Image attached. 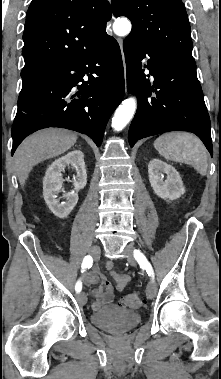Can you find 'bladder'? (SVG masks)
<instances>
[{
  "label": "bladder",
  "instance_id": "bladder-1",
  "mask_svg": "<svg viewBox=\"0 0 221 379\" xmlns=\"http://www.w3.org/2000/svg\"><path fill=\"white\" fill-rule=\"evenodd\" d=\"M140 320L138 312L114 306L101 308L91 315L94 325L111 333L126 332L138 325Z\"/></svg>",
  "mask_w": 221,
  "mask_h": 379
}]
</instances>
